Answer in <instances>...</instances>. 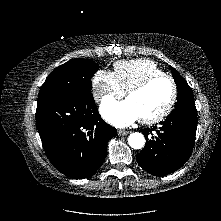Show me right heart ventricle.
<instances>
[{"instance_id": "e07e8e85", "label": "right heart ventricle", "mask_w": 221, "mask_h": 221, "mask_svg": "<svg viewBox=\"0 0 221 221\" xmlns=\"http://www.w3.org/2000/svg\"><path fill=\"white\" fill-rule=\"evenodd\" d=\"M113 68L124 92L151 75L163 73L157 64L148 59L120 60L114 63Z\"/></svg>"}]
</instances>
